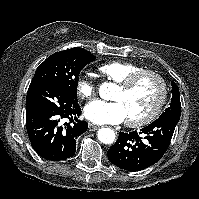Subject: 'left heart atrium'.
I'll list each match as a JSON object with an SVG mask.
<instances>
[{
	"instance_id": "obj_1",
	"label": "left heart atrium",
	"mask_w": 199,
	"mask_h": 199,
	"mask_svg": "<svg viewBox=\"0 0 199 199\" xmlns=\"http://www.w3.org/2000/svg\"><path fill=\"white\" fill-rule=\"evenodd\" d=\"M84 115L96 124H118L127 118L123 104L115 100L111 102L95 100L85 106Z\"/></svg>"
}]
</instances>
